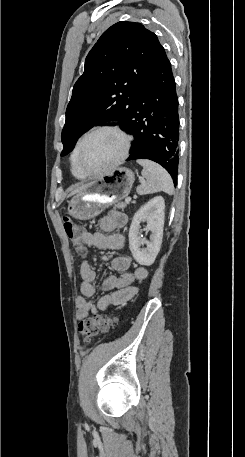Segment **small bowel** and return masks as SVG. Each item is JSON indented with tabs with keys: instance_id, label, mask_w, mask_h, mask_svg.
Returning <instances> with one entry per match:
<instances>
[{
	"instance_id": "obj_1",
	"label": "small bowel",
	"mask_w": 245,
	"mask_h": 457,
	"mask_svg": "<svg viewBox=\"0 0 245 457\" xmlns=\"http://www.w3.org/2000/svg\"><path fill=\"white\" fill-rule=\"evenodd\" d=\"M127 223V216L120 211H111L100 221V232H88L83 230V243L100 250H118L124 247L125 237L118 231ZM111 262L112 268L121 272V275H109L102 283V290L108 292L96 303L92 300L96 293L94 281L96 273L91 265L84 261L81 263L79 272L81 276L80 292L77 298L78 318L83 319L89 314L104 311L110 306L121 305L131 299L138 291V286L147 277L144 267L136 266L130 270L132 260L129 256L104 257Z\"/></svg>"
}]
</instances>
